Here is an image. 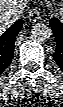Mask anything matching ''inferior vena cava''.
<instances>
[{"label": "inferior vena cava", "instance_id": "602c4592", "mask_svg": "<svg viewBox=\"0 0 63 107\" xmlns=\"http://www.w3.org/2000/svg\"><path fill=\"white\" fill-rule=\"evenodd\" d=\"M25 6H26L25 3H21V6H17L12 10L7 11L5 15L8 17L10 22L14 23L22 16Z\"/></svg>", "mask_w": 63, "mask_h": 107}]
</instances>
